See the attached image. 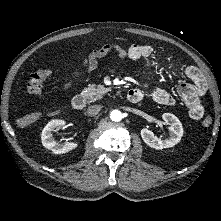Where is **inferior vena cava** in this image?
<instances>
[{
  "label": "inferior vena cava",
  "mask_w": 221,
  "mask_h": 221,
  "mask_svg": "<svg viewBox=\"0 0 221 221\" xmlns=\"http://www.w3.org/2000/svg\"><path fill=\"white\" fill-rule=\"evenodd\" d=\"M102 109L101 105H92L88 107L87 109V115L88 116H95L99 113V111Z\"/></svg>",
  "instance_id": "inferior-vena-cava-1"
}]
</instances>
